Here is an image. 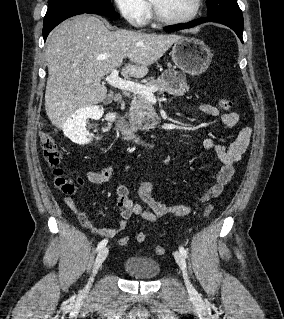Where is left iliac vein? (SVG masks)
<instances>
[{"label": "left iliac vein", "instance_id": "4c4485c4", "mask_svg": "<svg viewBox=\"0 0 284 319\" xmlns=\"http://www.w3.org/2000/svg\"><path fill=\"white\" fill-rule=\"evenodd\" d=\"M174 257H175L177 264L179 265L180 269L183 272L185 285H186L188 291L190 293H194L195 289H194L193 285L191 284V282L189 281L188 274H187L186 260H185L184 256L179 251H176L174 253Z\"/></svg>", "mask_w": 284, "mask_h": 319}]
</instances>
